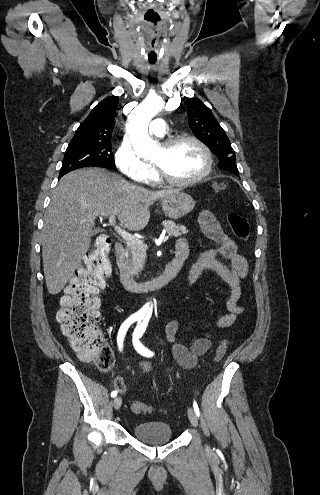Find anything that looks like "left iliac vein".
Segmentation results:
<instances>
[{
    "mask_svg": "<svg viewBox=\"0 0 320 495\" xmlns=\"http://www.w3.org/2000/svg\"><path fill=\"white\" fill-rule=\"evenodd\" d=\"M188 418H189V420H190V422H191V424H192L193 426H195V427H197V426H198V419H197V415H196V413H195L194 409H193V408H191V407L188 409Z\"/></svg>",
    "mask_w": 320,
    "mask_h": 495,
    "instance_id": "1",
    "label": "left iliac vein"
}]
</instances>
